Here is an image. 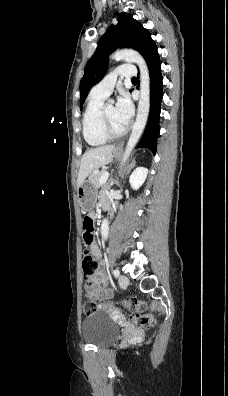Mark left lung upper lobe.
<instances>
[{
  "label": "left lung upper lobe",
  "instance_id": "left-lung-upper-lobe-1",
  "mask_svg": "<svg viewBox=\"0 0 228 396\" xmlns=\"http://www.w3.org/2000/svg\"><path fill=\"white\" fill-rule=\"evenodd\" d=\"M153 42L151 34L129 13H120L118 23L111 25L100 38L98 47L85 67L81 81L80 108L88 91L99 82L107 69L109 55L117 48L127 47L139 51L143 57Z\"/></svg>",
  "mask_w": 228,
  "mask_h": 396
}]
</instances>
